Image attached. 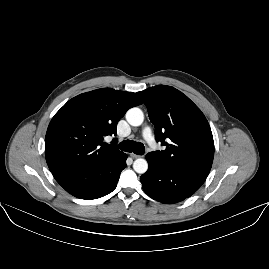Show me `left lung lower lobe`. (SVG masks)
I'll return each instance as SVG.
<instances>
[{"label": "left lung lower lobe", "instance_id": "1", "mask_svg": "<svg viewBox=\"0 0 269 269\" xmlns=\"http://www.w3.org/2000/svg\"><path fill=\"white\" fill-rule=\"evenodd\" d=\"M149 168L140 177L142 187L151 198L173 204L193 195L206 176L163 165L146 157Z\"/></svg>", "mask_w": 269, "mask_h": 269}]
</instances>
